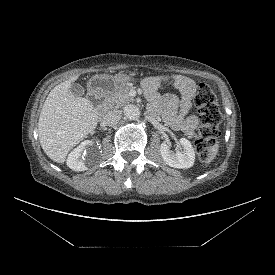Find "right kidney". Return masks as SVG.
I'll list each match as a JSON object with an SVG mask.
<instances>
[{
    "instance_id": "right-kidney-1",
    "label": "right kidney",
    "mask_w": 275,
    "mask_h": 275,
    "mask_svg": "<svg viewBox=\"0 0 275 275\" xmlns=\"http://www.w3.org/2000/svg\"><path fill=\"white\" fill-rule=\"evenodd\" d=\"M92 145L91 141L82 142L77 148H75L67 158V166L74 171H85L87 166L82 158V152Z\"/></svg>"
}]
</instances>
